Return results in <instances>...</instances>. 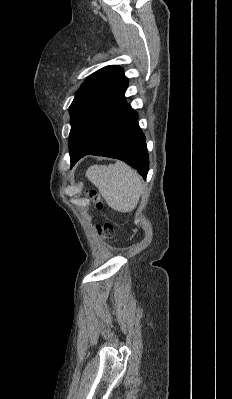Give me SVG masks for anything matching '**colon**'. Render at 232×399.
Instances as JSON below:
<instances>
[{
	"instance_id": "5ec220e1",
	"label": "colon",
	"mask_w": 232,
	"mask_h": 399,
	"mask_svg": "<svg viewBox=\"0 0 232 399\" xmlns=\"http://www.w3.org/2000/svg\"><path fill=\"white\" fill-rule=\"evenodd\" d=\"M91 196H98V191H88V195L86 196V207H91V202H94V197ZM107 211V197H102V203H97L96 211ZM103 226H106V235H111L114 233V230L117 229L116 225H111V219L107 218L106 221H103ZM97 235H104V230H97Z\"/></svg>"
}]
</instances>
